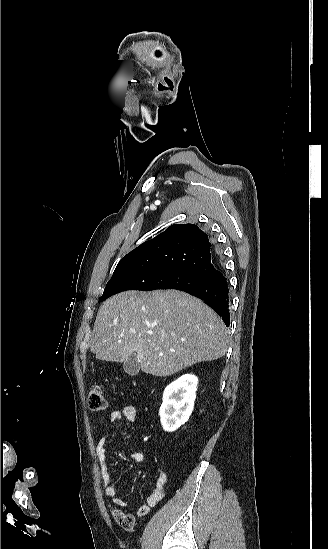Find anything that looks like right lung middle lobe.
I'll use <instances>...</instances> for the list:
<instances>
[{
	"label": "right lung middle lobe",
	"mask_w": 328,
	"mask_h": 549,
	"mask_svg": "<svg viewBox=\"0 0 328 549\" xmlns=\"http://www.w3.org/2000/svg\"><path fill=\"white\" fill-rule=\"evenodd\" d=\"M207 279L195 272L165 267H130L114 272L100 301L125 290L151 291L178 289L195 285Z\"/></svg>",
	"instance_id": "obj_1"
}]
</instances>
